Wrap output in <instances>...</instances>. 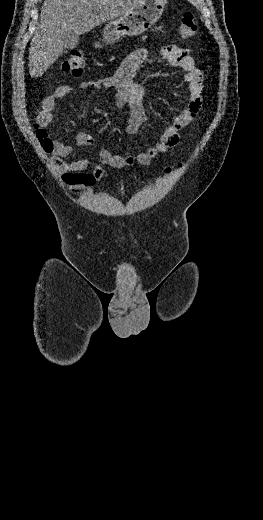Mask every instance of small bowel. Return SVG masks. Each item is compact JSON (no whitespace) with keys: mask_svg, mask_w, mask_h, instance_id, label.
<instances>
[{"mask_svg":"<svg viewBox=\"0 0 263 520\" xmlns=\"http://www.w3.org/2000/svg\"><path fill=\"white\" fill-rule=\"evenodd\" d=\"M160 54L171 66L179 68L185 73L188 98L182 111L154 145L136 155L126 156L115 155L107 149H102L98 152V163L90 171H87L89 163L86 159L66 161L65 158L72 153V147L60 141H54L50 162L65 184L78 188H90L103 177L104 166L116 169L135 163L147 166L158 153L168 152L178 144L180 131L189 125L202 109L203 73L195 65L194 59L186 48L167 44L160 49ZM148 56L147 48H138L123 60L114 75L99 80H84L79 84L81 89L93 87L112 90L118 101L129 104L131 111L127 126L129 133H136L145 121V112L141 103L144 87L136 80V72ZM74 91L75 88L70 85H61L52 95L43 100L42 110L38 116V122L42 127L48 126L53 121L56 101L67 97ZM78 140L84 147H94V139L86 132H81Z\"/></svg>","mask_w":263,"mask_h":520,"instance_id":"c3829d8e","label":"small bowel"}]
</instances>
